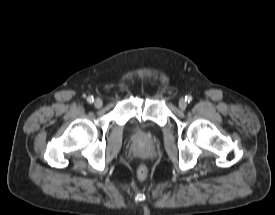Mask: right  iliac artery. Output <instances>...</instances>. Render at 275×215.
I'll list each match as a JSON object with an SVG mask.
<instances>
[{
    "label": "right iliac artery",
    "instance_id": "right-iliac-artery-1",
    "mask_svg": "<svg viewBox=\"0 0 275 215\" xmlns=\"http://www.w3.org/2000/svg\"><path fill=\"white\" fill-rule=\"evenodd\" d=\"M87 101H88L89 103H93V101H94L93 96H89V97L87 98Z\"/></svg>",
    "mask_w": 275,
    "mask_h": 215
}]
</instances>
